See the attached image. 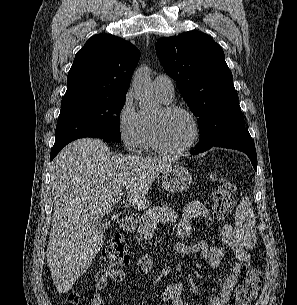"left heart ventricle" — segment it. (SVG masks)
Returning a JSON list of instances; mask_svg holds the SVG:
<instances>
[{
	"label": "left heart ventricle",
	"mask_w": 297,
	"mask_h": 305,
	"mask_svg": "<svg viewBox=\"0 0 297 305\" xmlns=\"http://www.w3.org/2000/svg\"><path fill=\"white\" fill-rule=\"evenodd\" d=\"M153 119L157 122L160 140L169 148L181 147L193 136L192 122L182 113L164 114L160 109Z\"/></svg>",
	"instance_id": "left-heart-ventricle-1"
}]
</instances>
